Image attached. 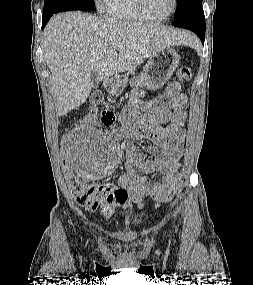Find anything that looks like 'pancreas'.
Returning <instances> with one entry per match:
<instances>
[{
	"mask_svg": "<svg viewBox=\"0 0 253 285\" xmlns=\"http://www.w3.org/2000/svg\"><path fill=\"white\" fill-rule=\"evenodd\" d=\"M127 83H128V75H123L122 78L118 77L115 80V86L118 92H121L122 89H124L127 86Z\"/></svg>",
	"mask_w": 253,
	"mask_h": 285,
	"instance_id": "cf45deb5",
	"label": "pancreas"
}]
</instances>
